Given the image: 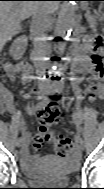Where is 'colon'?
I'll use <instances>...</instances> for the list:
<instances>
[{"instance_id": "5ec220e1", "label": "colon", "mask_w": 104, "mask_h": 189, "mask_svg": "<svg viewBox=\"0 0 104 189\" xmlns=\"http://www.w3.org/2000/svg\"><path fill=\"white\" fill-rule=\"evenodd\" d=\"M92 61L94 63V74L100 78L102 75V55L104 50V39L101 35L91 38ZM1 108L4 107L3 99L0 96ZM62 108L56 103H50L40 114V130L34 141V148H40L44 143L52 141L56 152L60 156H68L74 152V142L68 137L54 138L50 126L61 114Z\"/></svg>"}]
</instances>
